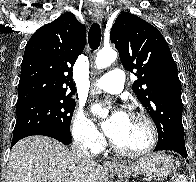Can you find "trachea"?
Masks as SVG:
<instances>
[{"mask_svg": "<svg viewBox=\"0 0 196 182\" xmlns=\"http://www.w3.org/2000/svg\"><path fill=\"white\" fill-rule=\"evenodd\" d=\"M101 42V28L98 23H93L88 33V43L92 50L99 47Z\"/></svg>", "mask_w": 196, "mask_h": 182, "instance_id": "obj_1", "label": "trachea"}]
</instances>
